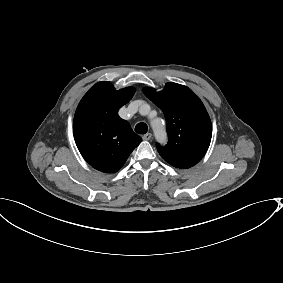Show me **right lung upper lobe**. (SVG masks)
I'll return each instance as SVG.
<instances>
[{"label": "right lung upper lobe", "instance_id": "right-lung-upper-lobe-1", "mask_svg": "<svg viewBox=\"0 0 283 283\" xmlns=\"http://www.w3.org/2000/svg\"><path fill=\"white\" fill-rule=\"evenodd\" d=\"M135 88L115 90L110 82L96 83L80 101L73 122L76 145L84 159L105 173L117 172L140 144L129 123L118 116Z\"/></svg>", "mask_w": 283, "mask_h": 283}]
</instances>
